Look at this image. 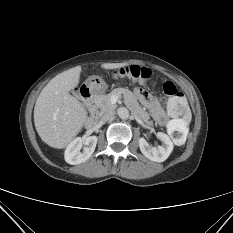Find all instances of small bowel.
Segmentation results:
<instances>
[{
  "mask_svg": "<svg viewBox=\"0 0 233 233\" xmlns=\"http://www.w3.org/2000/svg\"><path fill=\"white\" fill-rule=\"evenodd\" d=\"M136 94L140 101L151 109L154 118L161 124H164L167 120L166 114L163 108L158 104V102L144 89L138 88Z\"/></svg>",
  "mask_w": 233,
  "mask_h": 233,
  "instance_id": "obj_1",
  "label": "small bowel"
}]
</instances>
